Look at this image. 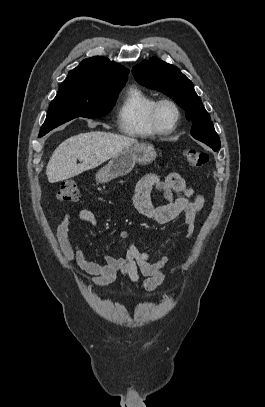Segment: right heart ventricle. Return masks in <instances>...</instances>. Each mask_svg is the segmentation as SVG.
<instances>
[{
    "label": "right heart ventricle",
    "mask_w": 265,
    "mask_h": 407,
    "mask_svg": "<svg viewBox=\"0 0 265 407\" xmlns=\"http://www.w3.org/2000/svg\"><path fill=\"white\" fill-rule=\"evenodd\" d=\"M155 102L156 99L141 88H128L117 111L121 131L138 138L156 136L158 133L150 121V111Z\"/></svg>",
    "instance_id": "e07e8e85"
}]
</instances>
